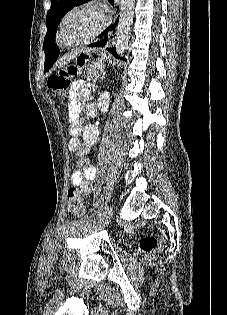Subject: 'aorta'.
I'll return each mask as SVG.
<instances>
[{
	"mask_svg": "<svg viewBox=\"0 0 227 315\" xmlns=\"http://www.w3.org/2000/svg\"><path fill=\"white\" fill-rule=\"evenodd\" d=\"M135 0H121L119 23L116 31L115 46L117 54L123 55L128 45L134 17Z\"/></svg>",
	"mask_w": 227,
	"mask_h": 315,
	"instance_id": "aorta-1",
	"label": "aorta"
}]
</instances>
